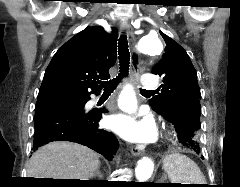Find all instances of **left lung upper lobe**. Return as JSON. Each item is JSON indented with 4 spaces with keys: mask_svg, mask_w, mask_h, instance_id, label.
Wrapping results in <instances>:
<instances>
[{
    "mask_svg": "<svg viewBox=\"0 0 240 187\" xmlns=\"http://www.w3.org/2000/svg\"><path fill=\"white\" fill-rule=\"evenodd\" d=\"M166 43L162 59L153 66L152 73L163 77L162 89L150 100L154 111L175 123L200 129L201 93L196 70L186 51L160 31Z\"/></svg>",
    "mask_w": 240,
    "mask_h": 187,
    "instance_id": "5c2ea615",
    "label": "left lung upper lobe"
}]
</instances>
